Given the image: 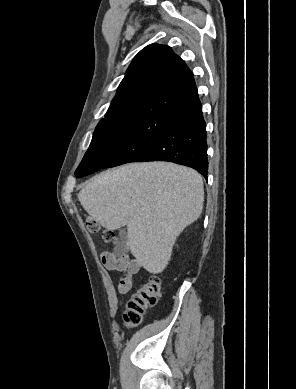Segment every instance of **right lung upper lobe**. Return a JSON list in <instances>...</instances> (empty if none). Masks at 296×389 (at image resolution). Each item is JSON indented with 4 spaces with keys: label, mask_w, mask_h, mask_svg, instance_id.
Masks as SVG:
<instances>
[{
    "label": "right lung upper lobe",
    "mask_w": 296,
    "mask_h": 389,
    "mask_svg": "<svg viewBox=\"0 0 296 389\" xmlns=\"http://www.w3.org/2000/svg\"><path fill=\"white\" fill-rule=\"evenodd\" d=\"M201 107L193 74L166 45L151 44L131 62L105 118L156 113L177 119Z\"/></svg>",
    "instance_id": "cb5924a9"
}]
</instances>
